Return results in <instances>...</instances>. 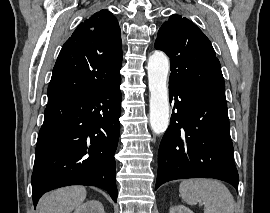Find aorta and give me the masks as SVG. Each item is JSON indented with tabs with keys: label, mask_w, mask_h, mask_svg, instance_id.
<instances>
[{
	"label": "aorta",
	"mask_w": 270,
	"mask_h": 213,
	"mask_svg": "<svg viewBox=\"0 0 270 213\" xmlns=\"http://www.w3.org/2000/svg\"><path fill=\"white\" fill-rule=\"evenodd\" d=\"M168 71L167 56L161 51H155L148 60L150 125L155 134L164 133L169 125Z\"/></svg>",
	"instance_id": "aorta-1"
}]
</instances>
